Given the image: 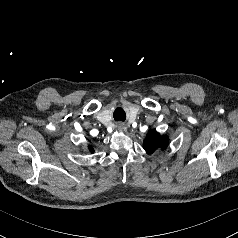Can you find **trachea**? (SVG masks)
<instances>
[{
  "label": "trachea",
  "instance_id": "3493384b",
  "mask_svg": "<svg viewBox=\"0 0 238 238\" xmlns=\"http://www.w3.org/2000/svg\"><path fill=\"white\" fill-rule=\"evenodd\" d=\"M114 119H115V120H122V121H124V119H125V114H124V112L119 113L118 110L115 111V112H114Z\"/></svg>",
  "mask_w": 238,
  "mask_h": 238
}]
</instances>
